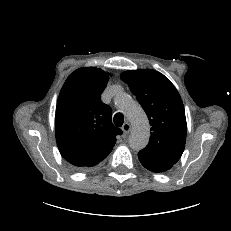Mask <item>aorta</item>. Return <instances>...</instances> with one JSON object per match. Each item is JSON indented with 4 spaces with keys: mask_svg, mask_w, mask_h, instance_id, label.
<instances>
[{
    "mask_svg": "<svg viewBox=\"0 0 231 231\" xmlns=\"http://www.w3.org/2000/svg\"><path fill=\"white\" fill-rule=\"evenodd\" d=\"M115 104L123 110L132 124L129 146L136 151L145 148L149 142L150 125L142 107L127 94L118 95Z\"/></svg>",
    "mask_w": 231,
    "mask_h": 231,
    "instance_id": "aorta-1",
    "label": "aorta"
}]
</instances>
